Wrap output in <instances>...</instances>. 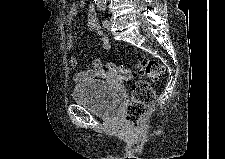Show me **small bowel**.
<instances>
[{"label": "small bowel", "instance_id": "obj_1", "mask_svg": "<svg viewBox=\"0 0 225 159\" xmlns=\"http://www.w3.org/2000/svg\"><path fill=\"white\" fill-rule=\"evenodd\" d=\"M78 13V6L72 4L66 15V22L70 24L76 17ZM86 24L90 30L96 33L101 40V45L104 50H109L111 45L108 37H106L100 28L97 14L93 5H90L87 10V19ZM73 38L70 34L67 36V48L69 50L73 49ZM69 64L71 68L76 69L78 66V60L75 57H70ZM73 82L75 84H81L83 82L92 80V79H107L109 81H114L112 77L109 76L107 71L104 69L102 61L98 58L93 59L91 62V68L86 71H77L72 76Z\"/></svg>", "mask_w": 225, "mask_h": 159}]
</instances>
